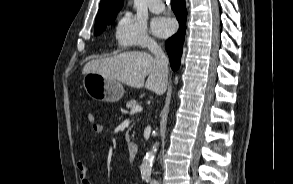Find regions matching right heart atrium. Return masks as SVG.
I'll return each mask as SVG.
<instances>
[{
	"label": "right heart atrium",
	"instance_id": "right-heart-atrium-1",
	"mask_svg": "<svg viewBox=\"0 0 293 184\" xmlns=\"http://www.w3.org/2000/svg\"><path fill=\"white\" fill-rule=\"evenodd\" d=\"M115 42L120 50L140 48L155 51L158 48L146 24L129 13L122 15L116 23Z\"/></svg>",
	"mask_w": 293,
	"mask_h": 184
}]
</instances>
